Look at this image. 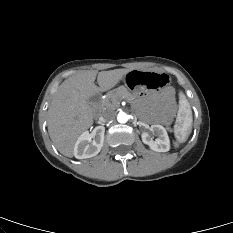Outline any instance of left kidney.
I'll use <instances>...</instances> for the list:
<instances>
[{
    "label": "left kidney",
    "instance_id": "1",
    "mask_svg": "<svg viewBox=\"0 0 233 233\" xmlns=\"http://www.w3.org/2000/svg\"><path fill=\"white\" fill-rule=\"evenodd\" d=\"M150 130L156 133L157 138L153 140L148 133H142V140L150 149L156 152H167L170 150V140L166 129L162 125H152Z\"/></svg>",
    "mask_w": 233,
    "mask_h": 233
}]
</instances>
